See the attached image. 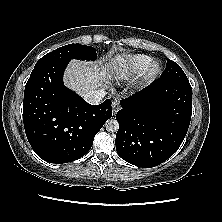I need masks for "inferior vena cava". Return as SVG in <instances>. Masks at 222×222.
<instances>
[{
	"mask_svg": "<svg viewBox=\"0 0 222 222\" xmlns=\"http://www.w3.org/2000/svg\"><path fill=\"white\" fill-rule=\"evenodd\" d=\"M105 97L104 89H94L90 90L84 95L85 101L91 105H99Z\"/></svg>",
	"mask_w": 222,
	"mask_h": 222,
	"instance_id": "1",
	"label": "inferior vena cava"
}]
</instances>
